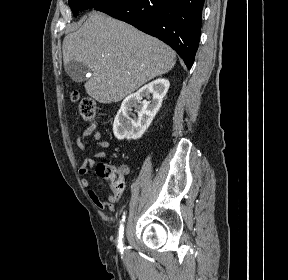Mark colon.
<instances>
[{
    "mask_svg": "<svg viewBox=\"0 0 288 280\" xmlns=\"http://www.w3.org/2000/svg\"><path fill=\"white\" fill-rule=\"evenodd\" d=\"M77 93L71 95V99L76 101ZM96 101L91 97L83 98L79 103V112L83 120L89 124L91 130L96 125ZM97 174L105 178L110 183L111 195H120L124 189V175L121 168H117L105 163H99L96 167Z\"/></svg>",
    "mask_w": 288,
    "mask_h": 280,
    "instance_id": "colon-1",
    "label": "colon"
}]
</instances>
